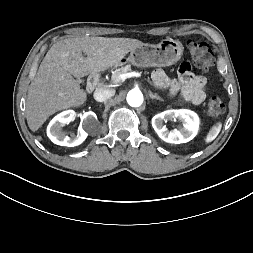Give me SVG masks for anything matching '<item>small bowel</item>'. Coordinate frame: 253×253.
Masks as SVG:
<instances>
[{
    "label": "small bowel",
    "instance_id": "1",
    "mask_svg": "<svg viewBox=\"0 0 253 253\" xmlns=\"http://www.w3.org/2000/svg\"><path fill=\"white\" fill-rule=\"evenodd\" d=\"M179 76L170 78L163 70H155L152 80L158 87L165 88L172 95H179L182 99L199 105L206 98V78L210 75L208 70L203 76L192 74V63L182 60L179 63Z\"/></svg>",
    "mask_w": 253,
    "mask_h": 253
}]
</instances>
